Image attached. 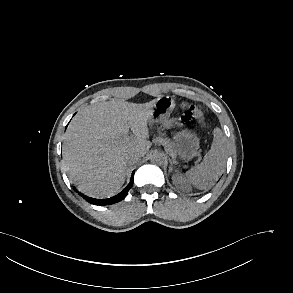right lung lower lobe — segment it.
Masks as SVG:
<instances>
[{"label":"right lung lower lobe","mask_w":293,"mask_h":293,"mask_svg":"<svg viewBox=\"0 0 293 293\" xmlns=\"http://www.w3.org/2000/svg\"><path fill=\"white\" fill-rule=\"evenodd\" d=\"M133 175H134V172L132 173V177H131V180H130V183L128 184V186L122 192H120L119 194H117V195H115V196H113L111 198H108V199H94V198L85 196V195H83L81 193H80V195L85 200H87L89 203L94 204V205L104 206V205H110V204L117 203V202L121 201L122 199H124L126 197L128 191L132 187V185H133Z\"/></svg>","instance_id":"98d812e1"}]
</instances>
